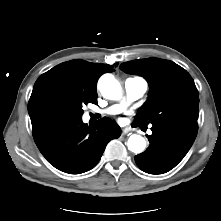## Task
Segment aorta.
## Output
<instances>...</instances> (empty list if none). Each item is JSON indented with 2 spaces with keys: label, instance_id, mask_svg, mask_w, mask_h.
Listing matches in <instances>:
<instances>
[{
  "label": "aorta",
  "instance_id": "obj_1",
  "mask_svg": "<svg viewBox=\"0 0 221 221\" xmlns=\"http://www.w3.org/2000/svg\"><path fill=\"white\" fill-rule=\"evenodd\" d=\"M98 88L102 96L106 99H117L121 95V85L111 74H104L100 77ZM127 145L130 151L139 154L144 151L146 141L142 136L133 134L129 137Z\"/></svg>",
  "mask_w": 221,
  "mask_h": 221
}]
</instances>
